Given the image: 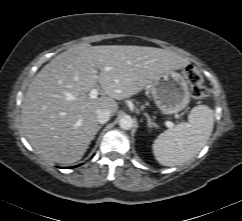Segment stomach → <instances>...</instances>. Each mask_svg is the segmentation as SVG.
<instances>
[{"instance_id":"0dacf381","label":"stomach","mask_w":242,"mask_h":221,"mask_svg":"<svg viewBox=\"0 0 242 221\" xmlns=\"http://www.w3.org/2000/svg\"><path fill=\"white\" fill-rule=\"evenodd\" d=\"M155 104L162 114L182 111L190 102V92L185 73L170 71L154 78L149 84Z\"/></svg>"}]
</instances>
